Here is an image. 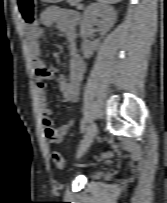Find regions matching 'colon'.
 <instances>
[{"label":"colon","mask_w":167,"mask_h":203,"mask_svg":"<svg viewBox=\"0 0 167 203\" xmlns=\"http://www.w3.org/2000/svg\"><path fill=\"white\" fill-rule=\"evenodd\" d=\"M18 11L21 19L25 23L27 29L30 32L36 33L39 31L38 26L35 21V1L34 0H17ZM114 155L112 152H103L96 156L97 160H107L112 158ZM52 160L56 167L64 168L65 160L62 154L58 151L52 152Z\"/></svg>","instance_id":"obj_1"}]
</instances>
